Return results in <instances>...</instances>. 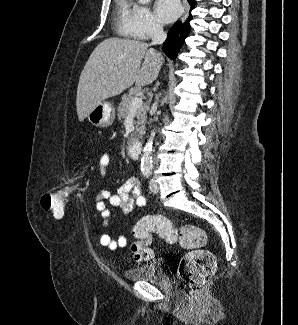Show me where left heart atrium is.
I'll list each match as a JSON object with an SVG mask.
<instances>
[{"label":"left heart atrium","mask_w":298,"mask_h":325,"mask_svg":"<svg viewBox=\"0 0 298 325\" xmlns=\"http://www.w3.org/2000/svg\"><path fill=\"white\" fill-rule=\"evenodd\" d=\"M181 3L179 0H157L155 5V15L161 24L173 22L181 13Z\"/></svg>","instance_id":"obj_1"}]
</instances>
